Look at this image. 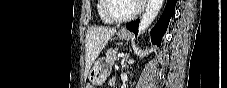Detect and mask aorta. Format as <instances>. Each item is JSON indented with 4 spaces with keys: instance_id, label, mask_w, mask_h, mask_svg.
<instances>
[{
    "instance_id": "762f6f07",
    "label": "aorta",
    "mask_w": 227,
    "mask_h": 88,
    "mask_svg": "<svg viewBox=\"0 0 227 88\" xmlns=\"http://www.w3.org/2000/svg\"><path fill=\"white\" fill-rule=\"evenodd\" d=\"M164 0H148L146 11L139 23V34H142L157 17Z\"/></svg>"
}]
</instances>
